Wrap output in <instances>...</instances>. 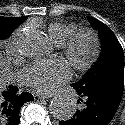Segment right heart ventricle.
Segmentation results:
<instances>
[{
	"mask_svg": "<svg viewBox=\"0 0 125 125\" xmlns=\"http://www.w3.org/2000/svg\"><path fill=\"white\" fill-rule=\"evenodd\" d=\"M77 27L72 23L53 22L48 25L49 38L56 44H63L75 32Z\"/></svg>",
	"mask_w": 125,
	"mask_h": 125,
	"instance_id": "right-heart-ventricle-1",
	"label": "right heart ventricle"
}]
</instances>
